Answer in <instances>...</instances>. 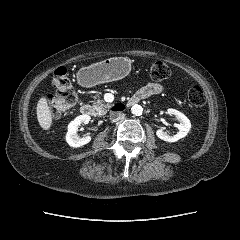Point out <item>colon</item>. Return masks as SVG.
<instances>
[{
  "instance_id": "5ec220e1",
  "label": "colon",
  "mask_w": 240,
  "mask_h": 240,
  "mask_svg": "<svg viewBox=\"0 0 240 240\" xmlns=\"http://www.w3.org/2000/svg\"><path fill=\"white\" fill-rule=\"evenodd\" d=\"M170 68L164 62L157 61L150 68V77L156 81H162L170 76ZM52 86L56 93L48 97V105L52 116L59 117L76 104V92L70 81L65 67H59L54 71ZM189 102L196 107H203L206 98L200 86H192L187 93Z\"/></svg>"
}]
</instances>
